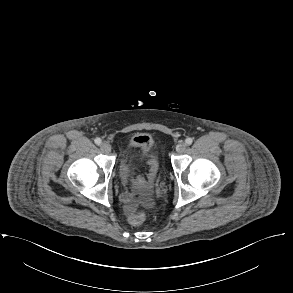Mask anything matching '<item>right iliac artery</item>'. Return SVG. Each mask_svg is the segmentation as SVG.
<instances>
[{
  "label": "right iliac artery",
  "mask_w": 293,
  "mask_h": 293,
  "mask_svg": "<svg viewBox=\"0 0 293 293\" xmlns=\"http://www.w3.org/2000/svg\"><path fill=\"white\" fill-rule=\"evenodd\" d=\"M102 143V140L100 138L95 139V144L100 145Z\"/></svg>",
  "instance_id": "obj_1"
}]
</instances>
